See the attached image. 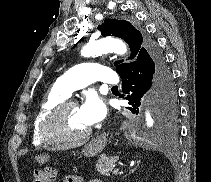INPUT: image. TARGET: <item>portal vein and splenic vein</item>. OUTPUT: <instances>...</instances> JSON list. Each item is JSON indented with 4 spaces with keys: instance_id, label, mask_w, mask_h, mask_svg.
<instances>
[{
    "instance_id": "obj_1",
    "label": "portal vein and splenic vein",
    "mask_w": 211,
    "mask_h": 182,
    "mask_svg": "<svg viewBox=\"0 0 211 182\" xmlns=\"http://www.w3.org/2000/svg\"><path fill=\"white\" fill-rule=\"evenodd\" d=\"M118 172H119V170H118V169H115V170H114V173H115V174H117Z\"/></svg>"
}]
</instances>
